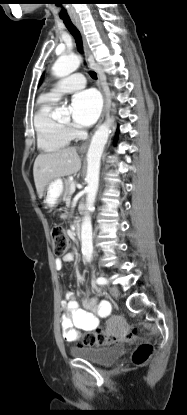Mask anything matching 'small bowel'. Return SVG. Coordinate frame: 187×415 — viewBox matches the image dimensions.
I'll use <instances>...</instances> for the list:
<instances>
[{
  "instance_id": "c3829d8e",
  "label": "small bowel",
  "mask_w": 187,
  "mask_h": 415,
  "mask_svg": "<svg viewBox=\"0 0 187 415\" xmlns=\"http://www.w3.org/2000/svg\"><path fill=\"white\" fill-rule=\"evenodd\" d=\"M74 259L72 253H67L60 258L55 259V266L60 270L64 263L71 262ZM97 288L94 287L82 301L83 307L80 308L71 291L62 292L61 307L63 315L61 318V329L63 336L68 342H77L81 332H91L99 326L100 319L110 317V304L102 300L99 301L92 295ZM118 317H110L109 323L113 324Z\"/></svg>"
}]
</instances>
